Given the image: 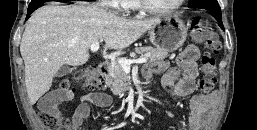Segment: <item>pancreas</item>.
<instances>
[{
  "instance_id": "cf45deb5",
  "label": "pancreas",
  "mask_w": 257,
  "mask_h": 130,
  "mask_svg": "<svg viewBox=\"0 0 257 130\" xmlns=\"http://www.w3.org/2000/svg\"><path fill=\"white\" fill-rule=\"evenodd\" d=\"M135 53L145 55L150 64H156L168 56V52L150 46L137 47ZM129 80L130 75L122 69L118 61L113 62L111 71L105 79L106 85L110 87L112 93L120 97L124 96V91L129 89Z\"/></svg>"
}]
</instances>
